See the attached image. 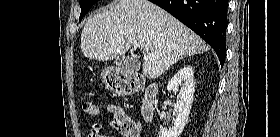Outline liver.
I'll return each instance as SVG.
<instances>
[{
  "label": "liver",
  "instance_id": "liver-1",
  "mask_svg": "<svg viewBox=\"0 0 280 137\" xmlns=\"http://www.w3.org/2000/svg\"><path fill=\"white\" fill-rule=\"evenodd\" d=\"M133 43L143 51V75L156 78L184 57L209 46L193 31L148 0H118L90 18L81 33V51L99 61L124 56Z\"/></svg>",
  "mask_w": 280,
  "mask_h": 137
}]
</instances>
